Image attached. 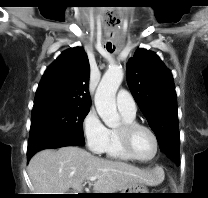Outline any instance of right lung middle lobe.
I'll return each instance as SVG.
<instances>
[{
    "mask_svg": "<svg viewBox=\"0 0 208 198\" xmlns=\"http://www.w3.org/2000/svg\"><path fill=\"white\" fill-rule=\"evenodd\" d=\"M88 112V106L68 103L33 108L29 141L60 134L85 143L82 125Z\"/></svg>",
    "mask_w": 208,
    "mask_h": 198,
    "instance_id": "1",
    "label": "right lung middle lobe"
}]
</instances>
